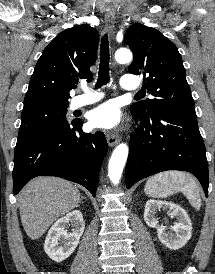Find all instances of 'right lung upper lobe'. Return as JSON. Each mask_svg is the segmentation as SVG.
Masks as SVG:
<instances>
[{"label": "right lung upper lobe", "instance_id": "obj_1", "mask_svg": "<svg viewBox=\"0 0 215 274\" xmlns=\"http://www.w3.org/2000/svg\"><path fill=\"white\" fill-rule=\"evenodd\" d=\"M98 33L81 24L59 33L39 58L24 108L48 103L68 104L70 90L79 79L92 80L90 67L97 56Z\"/></svg>", "mask_w": 215, "mask_h": 274}]
</instances>
